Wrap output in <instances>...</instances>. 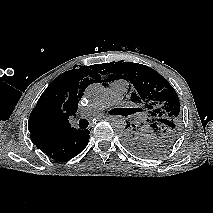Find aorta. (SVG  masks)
<instances>
[{"instance_id": "1", "label": "aorta", "mask_w": 213, "mask_h": 213, "mask_svg": "<svg viewBox=\"0 0 213 213\" xmlns=\"http://www.w3.org/2000/svg\"><path fill=\"white\" fill-rule=\"evenodd\" d=\"M86 94L89 98L95 100L105 96L106 89L100 83H92L86 89ZM112 126L119 132H123L126 127V119L122 116H117L112 120Z\"/></svg>"}]
</instances>
